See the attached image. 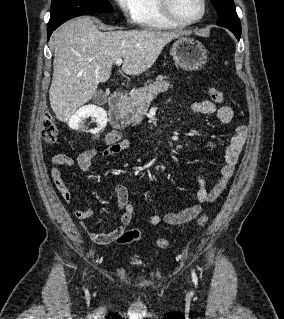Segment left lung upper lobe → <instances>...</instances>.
Returning <instances> with one entry per match:
<instances>
[{
	"instance_id": "obj_1",
	"label": "left lung upper lobe",
	"mask_w": 284,
	"mask_h": 319,
	"mask_svg": "<svg viewBox=\"0 0 284 319\" xmlns=\"http://www.w3.org/2000/svg\"><path fill=\"white\" fill-rule=\"evenodd\" d=\"M217 10L219 19L217 25L241 31V23L235 10L233 0H211Z\"/></svg>"
}]
</instances>
